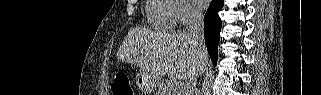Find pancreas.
I'll return each mask as SVG.
<instances>
[{
    "instance_id": "obj_1",
    "label": "pancreas",
    "mask_w": 321,
    "mask_h": 95,
    "mask_svg": "<svg viewBox=\"0 0 321 95\" xmlns=\"http://www.w3.org/2000/svg\"><path fill=\"white\" fill-rule=\"evenodd\" d=\"M178 88H172L169 83H164L159 86V95H178Z\"/></svg>"
}]
</instances>
